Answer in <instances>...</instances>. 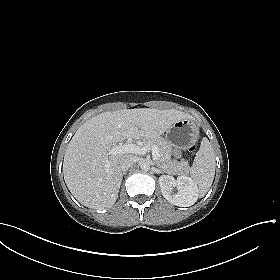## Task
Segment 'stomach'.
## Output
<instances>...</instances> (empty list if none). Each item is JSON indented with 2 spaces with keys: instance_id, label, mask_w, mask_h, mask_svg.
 Masks as SVG:
<instances>
[{
  "instance_id": "stomach-1",
  "label": "stomach",
  "mask_w": 280,
  "mask_h": 280,
  "mask_svg": "<svg viewBox=\"0 0 280 280\" xmlns=\"http://www.w3.org/2000/svg\"><path fill=\"white\" fill-rule=\"evenodd\" d=\"M199 129L194 121L182 119L166 131V140L170 145L188 149L197 142Z\"/></svg>"
}]
</instances>
